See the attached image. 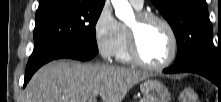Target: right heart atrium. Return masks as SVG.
I'll return each instance as SVG.
<instances>
[{
  "label": "right heart atrium",
  "mask_w": 221,
  "mask_h": 102,
  "mask_svg": "<svg viewBox=\"0 0 221 102\" xmlns=\"http://www.w3.org/2000/svg\"><path fill=\"white\" fill-rule=\"evenodd\" d=\"M93 35L102 57L109 59L117 54L123 39V30L108 6H104L98 13L93 25Z\"/></svg>",
  "instance_id": "1"
}]
</instances>
